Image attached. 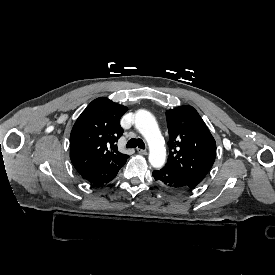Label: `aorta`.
I'll return each instance as SVG.
<instances>
[{
  "label": "aorta",
  "instance_id": "1",
  "mask_svg": "<svg viewBox=\"0 0 275 275\" xmlns=\"http://www.w3.org/2000/svg\"><path fill=\"white\" fill-rule=\"evenodd\" d=\"M135 127L150 146L149 162L154 168H161L166 159L165 149L157 144L161 136L157 121L152 113L139 109L135 113Z\"/></svg>",
  "mask_w": 275,
  "mask_h": 275
}]
</instances>
